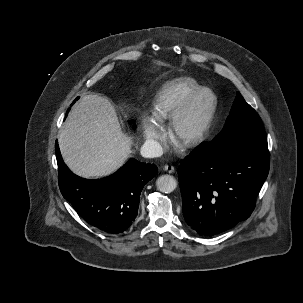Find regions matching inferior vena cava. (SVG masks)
<instances>
[{"label": "inferior vena cava", "instance_id": "inferior-vena-cava-1", "mask_svg": "<svg viewBox=\"0 0 303 303\" xmlns=\"http://www.w3.org/2000/svg\"><path fill=\"white\" fill-rule=\"evenodd\" d=\"M140 152L143 157L155 158L163 154V148L161 144L155 140H146Z\"/></svg>", "mask_w": 303, "mask_h": 303}]
</instances>
